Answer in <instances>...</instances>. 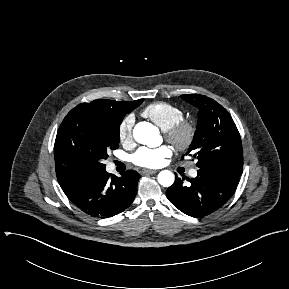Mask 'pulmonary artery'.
I'll return each mask as SVG.
<instances>
[{"instance_id":"obj_1","label":"pulmonary artery","mask_w":289,"mask_h":289,"mask_svg":"<svg viewBox=\"0 0 289 289\" xmlns=\"http://www.w3.org/2000/svg\"><path fill=\"white\" fill-rule=\"evenodd\" d=\"M189 175H190L191 177H196V176H197V170H196V169H191V170L189 171Z\"/></svg>"}]
</instances>
